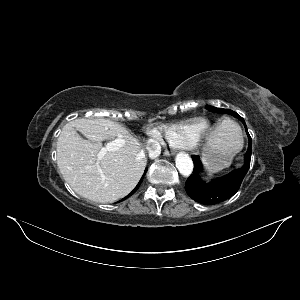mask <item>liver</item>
<instances>
[{
    "mask_svg": "<svg viewBox=\"0 0 300 300\" xmlns=\"http://www.w3.org/2000/svg\"><path fill=\"white\" fill-rule=\"evenodd\" d=\"M106 139H122L124 143L99 159ZM231 140L227 128L220 125L210 134L208 147ZM56 150L64 180L80 196L99 203H112L128 195L146 167L145 156H139L141 144L119 123L108 119H76L66 124Z\"/></svg>",
    "mask_w": 300,
    "mask_h": 300,
    "instance_id": "obj_1",
    "label": "liver"
}]
</instances>
